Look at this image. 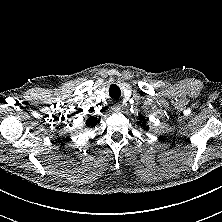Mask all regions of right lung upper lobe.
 <instances>
[{"label":"right lung upper lobe","mask_w":222,"mask_h":222,"mask_svg":"<svg viewBox=\"0 0 222 222\" xmlns=\"http://www.w3.org/2000/svg\"><path fill=\"white\" fill-rule=\"evenodd\" d=\"M100 122V118H97L95 116H89V118L86 120V126H95Z\"/></svg>","instance_id":"1"}]
</instances>
